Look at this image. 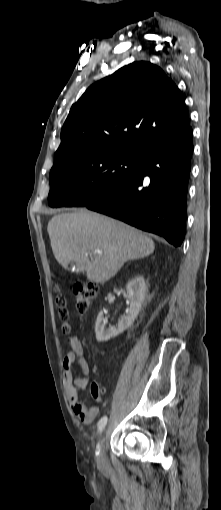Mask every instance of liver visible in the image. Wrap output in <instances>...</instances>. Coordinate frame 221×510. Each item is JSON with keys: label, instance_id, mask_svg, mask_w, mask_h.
<instances>
[{"label": "liver", "instance_id": "1", "mask_svg": "<svg viewBox=\"0 0 221 510\" xmlns=\"http://www.w3.org/2000/svg\"><path fill=\"white\" fill-rule=\"evenodd\" d=\"M47 231L57 262L64 268L74 263L77 273H86L97 283H105L125 262L155 249L154 241L141 231L87 210L53 216Z\"/></svg>", "mask_w": 221, "mask_h": 510}]
</instances>
